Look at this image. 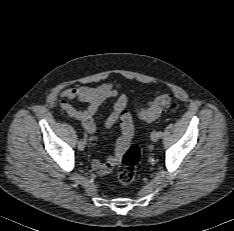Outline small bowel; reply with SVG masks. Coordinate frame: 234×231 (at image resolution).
<instances>
[{
	"label": "small bowel",
	"instance_id": "small-bowel-1",
	"mask_svg": "<svg viewBox=\"0 0 234 231\" xmlns=\"http://www.w3.org/2000/svg\"><path fill=\"white\" fill-rule=\"evenodd\" d=\"M63 101L61 108L73 119L78 120L85 129L91 146L96 143L94 132L96 129L94 115L100 105L109 98H115L113 109L105 120V126L110 128L118 121L121 122V135L119 136L114 155L108 156L105 161L92 160V168L101 175L109 174L126 151L134 134L129 116L125 112L127 97L117 84H103L98 87L80 86L64 89L61 94ZM77 100L87 104L85 109L75 108L70 101Z\"/></svg>",
	"mask_w": 234,
	"mask_h": 231
}]
</instances>
